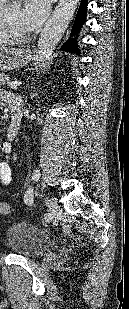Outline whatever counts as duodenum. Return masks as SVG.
Listing matches in <instances>:
<instances>
[{"instance_id":"410a0bca","label":"duodenum","mask_w":129,"mask_h":309,"mask_svg":"<svg viewBox=\"0 0 129 309\" xmlns=\"http://www.w3.org/2000/svg\"><path fill=\"white\" fill-rule=\"evenodd\" d=\"M18 116L17 115H12V121H11V125H10V131H9V135L12 137L15 135L17 126H18Z\"/></svg>"}]
</instances>
